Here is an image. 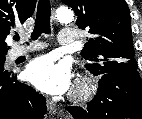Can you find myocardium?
Returning a JSON list of instances; mask_svg holds the SVG:
<instances>
[{
	"label": "myocardium",
	"mask_w": 142,
	"mask_h": 119,
	"mask_svg": "<svg viewBox=\"0 0 142 119\" xmlns=\"http://www.w3.org/2000/svg\"><path fill=\"white\" fill-rule=\"evenodd\" d=\"M96 89L95 80L91 76H84L77 81L72 98L77 102H86L92 98Z\"/></svg>",
	"instance_id": "obj_1"
}]
</instances>
